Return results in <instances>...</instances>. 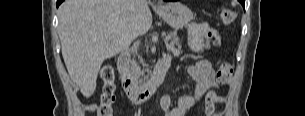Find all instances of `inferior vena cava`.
<instances>
[{"label":"inferior vena cava","instance_id":"1","mask_svg":"<svg viewBox=\"0 0 305 116\" xmlns=\"http://www.w3.org/2000/svg\"><path fill=\"white\" fill-rule=\"evenodd\" d=\"M141 0H132V7L138 9L140 7Z\"/></svg>","mask_w":305,"mask_h":116}]
</instances>
